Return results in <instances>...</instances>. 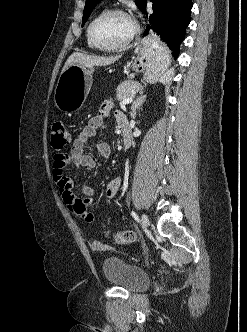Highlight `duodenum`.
I'll list each match as a JSON object with an SVG mask.
<instances>
[{"instance_id": "duodenum-1", "label": "duodenum", "mask_w": 247, "mask_h": 332, "mask_svg": "<svg viewBox=\"0 0 247 332\" xmlns=\"http://www.w3.org/2000/svg\"><path fill=\"white\" fill-rule=\"evenodd\" d=\"M118 124L121 129L123 149L127 151L132 143L128 120L125 115L118 118Z\"/></svg>"}]
</instances>
